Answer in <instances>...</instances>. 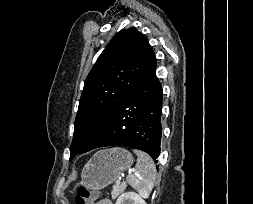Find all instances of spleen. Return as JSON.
<instances>
[{"instance_id": "spleen-1", "label": "spleen", "mask_w": 253, "mask_h": 204, "mask_svg": "<svg viewBox=\"0 0 253 204\" xmlns=\"http://www.w3.org/2000/svg\"><path fill=\"white\" fill-rule=\"evenodd\" d=\"M138 156L136 168L127 176V182L142 197H147L153 189L156 167L152 158L145 152L134 150Z\"/></svg>"}]
</instances>
